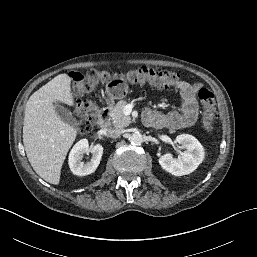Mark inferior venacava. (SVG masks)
I'll use <instances>...</instances> for the list:
<instances>
[{"label": "inferior vena cava", "instance_id": "1", "mask_svg": "<svg viewBox=\"0 0 257 257\" xmlns=\"http://www.w3.org/2000/svg\"><path fill=\"white\" fill-rule=\"evenodd\" d=\"M106 134L110 138H118L121 136L122 131L120 129H108Z\"/></svg>", "mask_w": 257, "mask_h": 257}]
</instances>
